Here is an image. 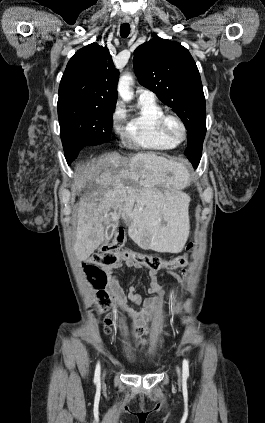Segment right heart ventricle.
Returning <instances> with one entry per match:
<instances>
[{
	"instance_id": "e07e8e85",
	"label": "right heart ventricle",
	"mask_w": 265,
	"mask_h": 423,
	"mask_svg": "<svg viewBox=\"0 0 265 423\" xmlns=\"http://www.w3.org/2000/svg\"><path fill=\"white\" fill-rule=\"evenodd\" d=\"M138 111L131 116L122 131L126 144L152 151H168L178 143L163 135L159 119L164 114L155 100H138Z\"/></svg>"
}]
</instances>
